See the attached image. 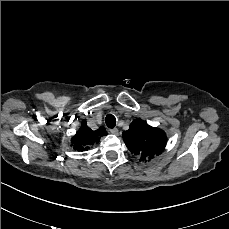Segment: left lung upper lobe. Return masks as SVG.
<instances>
[{
  "instance_id": "5c2ea615",
  "label": "left lung upper lobe",
  "mask_w": 229,
  "mask_h": 229,
  "mask_svg": "<svg viewBox=\"0 0 229 229\" xmlns=\"http://www.w3.org/2000/svg\"><path fill=\"white\" fill-rule=\"evenodd\" d=\"M122 136L131 153L141 156L143 160H150L161 154L167 142L164 131L148 125L139 118L130 124L129 130L124 131Z\"/></svg>"
}]
</instances>
